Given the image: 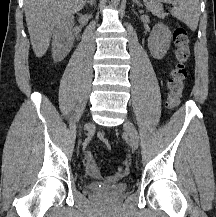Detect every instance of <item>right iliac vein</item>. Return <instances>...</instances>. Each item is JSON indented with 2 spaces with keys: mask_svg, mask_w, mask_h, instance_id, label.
Masks as SVG:
<instances>
[{
  "mask_svg": "<svg viewBox=\"0 0 216 217\" xmlns=\"http://www.w3.org/2000/svg\"><path fill=\"white\" fill-rule=\"evenodd\" d=\"M85 129H86L87 131H92V130L94 129V125L91 124V123H88V124L86 125Z\"/></svg>",
  "mask_w": 216,
  "mask_h": 217,
  "instance_id": "63e3f726",
  "label": "right iliac vein"
}]
</instances>
